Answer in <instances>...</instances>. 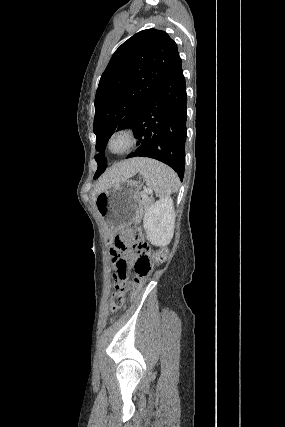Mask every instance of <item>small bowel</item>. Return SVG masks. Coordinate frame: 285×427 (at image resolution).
Returning <instances> with one entry per match:
<instances>
[{"label": "small bowel", "mask_w": 285, "mask_h": 427, "mask_svg": "<svg viewBox=\"0 0 285 427\" xmlns=\"http://www.w3.org/2000/svg\"><path fill=\"white\" fill-rule=\"evenodd\" d=\"M113 252H114V250H111V253H112V256H113V262H114V264L117 262V261H119V260H125L126 258H127V256L126 255H115V254H113ZM117 269V268H116ZM116 274H117V272H116Z\"/></svg>", "instance_id": "small-bowel-1"}]
</instances>
